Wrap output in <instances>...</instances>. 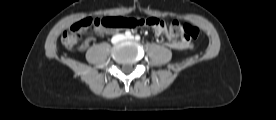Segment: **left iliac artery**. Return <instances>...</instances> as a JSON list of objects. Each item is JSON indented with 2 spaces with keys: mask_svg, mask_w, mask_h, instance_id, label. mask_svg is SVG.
I'll return each instance as SVG.
<instances>
[{
  "mask_svg": "<svg viewBox=\"0 0 276 120\" xmlns=\"http://www.w3.org/2000/svg\"><path fill=\"white\" fill-rule=\"evenodd\" d=\"M135 39L138 41V40H140V36L139 35H136L135 36Z\"/></svg>",
  "mask_w": 276,
  "mask_h": 120,
  "instance_id": "obj_1",
  "label": "left iliac artery"
}]
</instances>
